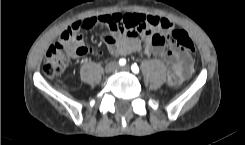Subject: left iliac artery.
Masks as SVG:
<instances>
[{"label":"left iliac artery","instance_id":"44dca946","mask_svg":"<svg viewBox=\"0 0 245 145\" xmlns=\"http://www.w3.org/2000/svg\"><path fill=\"white\" fill-rule=\"evenodd\" d=\"M131 69L134 73H139V68L136 63L131 66Z\"/></svg>","mask_w":245,"mask_h":145}]
</instances>
